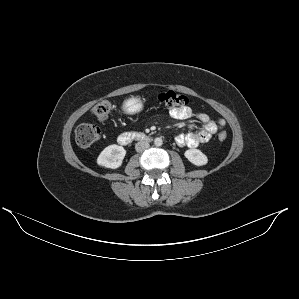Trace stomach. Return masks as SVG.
I'll return each mask as SVG.
<instances>
[{"label": "stomach", "mask_w": 299, "mask_h": 299, "mask_svg": "<svg viewBox=\"0 0 299 299\" xmlns=\"http://www.w3.org/2000/svg\"><path fill=\"white\" fill-rule=\"evenodd\" d=\"M143 107L142 101L139 97L131 96L123 103V109L128 114H134L141 111Z\"/></svg>", "instance_id": "0dacf381"}]
</instances>
